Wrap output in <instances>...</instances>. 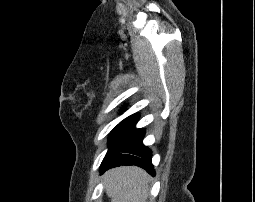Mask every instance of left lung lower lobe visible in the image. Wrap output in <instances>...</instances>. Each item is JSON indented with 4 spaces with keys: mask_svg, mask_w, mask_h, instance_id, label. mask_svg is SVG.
<instances>
[{
    "mask_svg": "<svg viewBox=\"0 0 255 202\" xmlns=\"http://www.w3.org/2000/svg\"><path fill=\"white\" fill-rule=\"evenodd\" d=\"M143 137L144 130L138 129L112 160L102 162L100 172L103 173L110 168L121 165H137L154 176L155 172L151 161V151L143 145Z\"/></svg>",
    "mask_w": 255,
    "mask_h": 202,
    "instance_id": "obj_1",
    "label": "left lung lower lobe"
}]
</instances>
